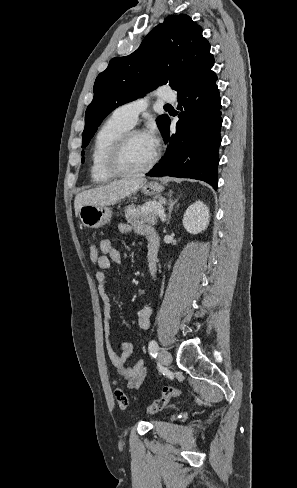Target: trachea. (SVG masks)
<instances>
[{
  "mask_svg": "<svg viewBox=\"0 0 297 488\" xmlns=\"http://www.w3.org/2000/svg\"><path fill=\"white\" fill-rule=\"evenodd\" d=\"M164 107H171V105L170 104H166Z\"/></svg>",
  "mask_w": 297,
  "mask_h": 488,
  "instance_id": "trachea-1",
  "label": "trachea"
}]
</instances>
